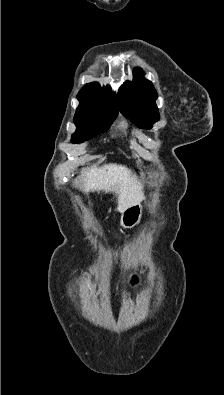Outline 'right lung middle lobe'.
Instances as JSON below:
<instances>
[{"instance_id": "obj_1", "label": "right lung middle lobe", "mask_w": 224, "mask_h": 395, "mask_svg": "<svg viewBox=\"0 0 224 395\" xmlns=\"http://www.w3.org/2000/svg\"><path fill=\"white\" fill-rule=\"evenodd\" d=\"M117 112L118 110L97 108L80 101L74 117L77 129L72 136V142H83L105 132L116 118Z\"/></svg>"}]
</instances>
